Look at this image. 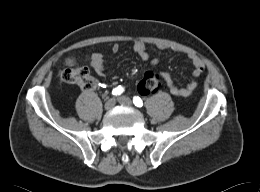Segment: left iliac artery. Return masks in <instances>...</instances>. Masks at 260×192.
Segmentation results:
<instances>
[{
	"mask_svg": "<svg viewBox=\"0 0 260 192\" xmlns=\"http://www.w3.org/2000/svg\"><path fill=\"white\" fill-rule=\"evenodd\" d=\"M133 103H134L137 107H142V106H143V101H142L139 97H134V98H133Z\"/></svg>",
	"mask_w": 260,
	"mask_h": 192,
	"instance_id": "obj_1",
	"label": "left iliac artery"
}]
</instances>
